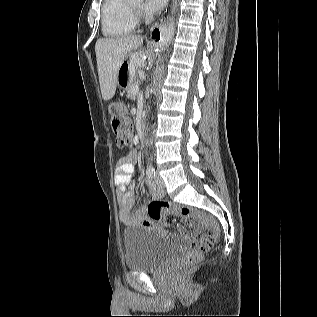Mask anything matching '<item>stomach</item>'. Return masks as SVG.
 <instances>
[{"label": "stomach", "instance_id": "1", "mask_svg": "<svg viewBox=\"0 0 317 317\" xmlns=\"http://www.w3.org/2000/svg\"><path fill=\"white\" fill-rule=\"evenodd\" d=\"M144 62V55H124L122 65L117 69V77L114 82V90L116 94H127L126 88L129 86L133 74L139 72V66Z\"/></svg>", "mask_w": 317, "mask_h": 317}]
</instances>
